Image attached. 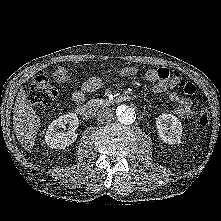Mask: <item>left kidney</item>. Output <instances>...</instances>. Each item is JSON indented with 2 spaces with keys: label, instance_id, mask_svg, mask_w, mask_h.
<instances>
[{
  "label": "left kidney",
  "instance_id": "1",
  "mask_svg": "<svg viewBox=\"0 0 221 221\" xmlns=\"http://www.w3.org/2000/svg\"><path fill=\"white\" fill-rule=\"evenodd\" d=\"M156 128L160 140L169 145L181 143L183 127L179 119L164 113L156 118Z\"/></svg>",
  "mask_w": 221,
  "mask_h": 221
}]
</instances>
